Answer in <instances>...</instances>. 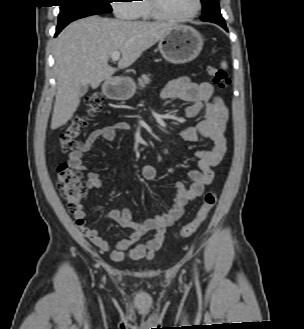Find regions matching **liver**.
<instances>
[{
  "instance_id": "liver-1",
  "label": "liver",
  "mask_w": 304,
  "mask_h": 329,
  "mask_svg": "<svg viewBox=\"0 0 304 329\" xmlns=\"http://www.w3.org/2000/svg\"><path fill=\"white\" fill-rule=\"evenodd\" d=\"M174 27L165 22L123 21L91 16L69 24L54 42V71L58 82L51 129L66 124L77 110L81 85L97 88L118 69L132 65ZM122 58L108 65L112 53Z\"/></svg>"
}]
</instances>
